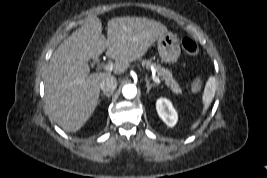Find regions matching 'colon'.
Returning <instances> with one entry per match:
<instances>
[{"label":"colon","mask_w":267,"mask_h":178,"mask_svg":"<svg viewBox=\"0 0 267 178\" xmlns=\"http://www.w3.org/2000/svg\"><path fill=\"white\" fill-rule=\"evenodd\" d=\"M182 47H183L184 51L191 56L198 54L197 44L192 39H190L188 37L182 38ZM200 87H201V81L198 79L194 80L192 83V88L194 90H199Z\"/></svg>","instance_id":"obj_1"}]
</instances>
